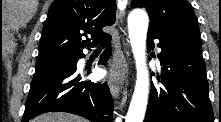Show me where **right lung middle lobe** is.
<instances>
[{"instance_id":"dd1d6c3e","label":"right lung middle lobe","mask_w":221,"mask_h":122,"mask_svg":"<svg viewBox=\"0 0 221 122\" xmlns=\"http://www.w3.org/2000/svg\"><path fill=\"white\" fill-rule=\"evenodd\" d=\"M76 59L77 56H67V57L37 60L36 70L34 75L42 74L56 68L73 64L76 61Z\"/></svg>"}]
</instances>
